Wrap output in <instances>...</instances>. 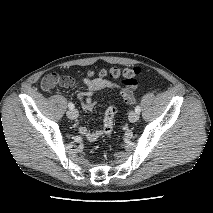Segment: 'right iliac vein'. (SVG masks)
<instances>
[{
  "mask_svg": "<svg viewBox=\"0 0 213 213\" xmlns=\"http://www.w3.org/2000/svg\"><path fill=\"white\" fill-rule=\"evenodd\" d=\"M67 117L72 120L76 119L78 117V111L75 109L68 110Z\"/></svg>",
  "mask_w": 213,
  "mask_h": 213,
  "instance_id": "63e3f726",
  "label": "right iliac vein"
}]
</instances>
